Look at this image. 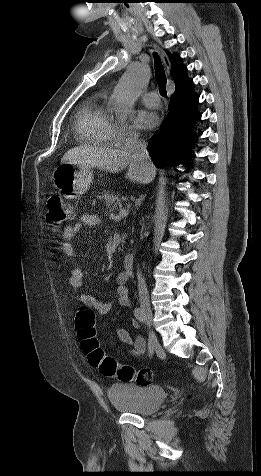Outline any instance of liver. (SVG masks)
Returning a JSON list of instances; mask_svg holds the SVG:
<instances>
[{
    "label": "liver",
    "mask_w": 261,
    "mask_h": 476,
    "mask_svg": "<svg viewBox=\"0 0 261 476\" xmlns=\"http://www.w3.org/2000/svg\"><path fill=\"white\" fill-rule=\"evenodd\" d=\"M61 163L90 168L97 167L110 173H117L128 168L125 178L140 184L152 182L156 174L154 165L142 164L125 149H114L111 147L90 145L75 147L64 154Z\"/></svg>",
    "instance_id": "1"
}]
</instances>
